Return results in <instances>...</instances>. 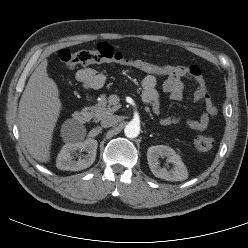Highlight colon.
Masks as SVG:
<instances>
[{"label": "colon", "mask_w": 248, "mask_h": 248, "mask_svg": "<svg viewBox=\"0 0 248 248\" xmlns=\"http://www.w3.org/2000/svg\"><path fill=\"white\" fill-rule=\"evenodd\" d=\"M59 59L69 69L111 62L135 68L145 74L161 76L163 71L162 65L143 59L129 58L108 43H99L94 48L79 51L62 49L59 52ZM194 144L200 151L208 152L214 146V137L210 135L198 136L195 138Z\"/></svg>", "instance_id": "obj_1"}]
</instances>
